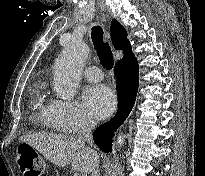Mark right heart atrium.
<instances>
[{
    "label": "right heart atrium",
    "mask_w": 205,
    "mask_h": 176,
    "mask_svg": "<svg viewBox=\"0 0 205 176\" xmlns=\"http://www.w3.org/2000/svg\"><path fill=\"white\" fill-rule=\"evenodd\" d=\"M51 112L58 126L70 132L94 124L93 118L75 101L55 99L52 101Z\"/></svg>",
    "instance_id": "d8ad5b80"
}]
</instances>
